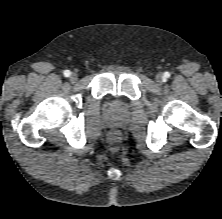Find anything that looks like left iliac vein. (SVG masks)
Listing matches in <instances>:
<instances>
[{"label":"left iliac vein","mask_w":222,"mask_h":219,"mask_svg":"<svg viewBox=\"0 0 222 219\" xmlns=\"http://www.w3.org/2000/svg\"><path fill=\"white\" fill-rule=\"evenodd\" d=\"M155 79H156V82H157V83H162V82H163V76H162V74H161V73H158V74L156 75Z\"/></svg>","instance_id":"obj_1"}]
</instances>
